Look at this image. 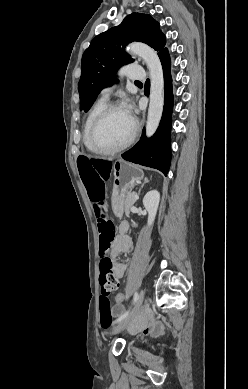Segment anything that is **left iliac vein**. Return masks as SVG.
Instances as JSON below:
<instances>
[{
	"mask_svg": "<svg viewBox=\"0 0 248 389\" xmlns=\"http://www.w3.org/2000/svg\"><path fill=\"white\" fill-rule=\"evenodd\" d=\"M144 297H145V290L141 289L140 293H139L138 300L136 301L133 310L131 311V313L123 321H121L117 325V327L114 329L115 333L120 332L136 316V314L138 313V311L140 310V308H141V306L143 304Z\"/></svg>",
	"mask_w": 248,
	"mask_h": 389,
	"instance_id": "4c4485c4",
	"label": "left iliac vein"
}]
</instances>
